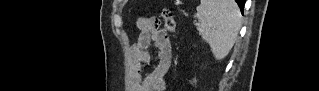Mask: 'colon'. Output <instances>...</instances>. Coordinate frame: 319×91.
<instances>
[{
  "mask_svg": "<svg viewBox=\"0 0 319 91\" xmlns=\"http://www.w3.org/2000/svg\"><path fill=\"white\" fill-rule=\"evenodd\" d=\"M162 17L164 19L166 30L169 33H174L175 29H176V22H175L174 15H173L172 11L168 8H164L162 11ZM154 19H156V18H154Z\"/></svg>",
  "mask_w": 319,
  "mask_h": 91,
  "instance_id": "5ec220e1",
  "label": "colon"
}]
</instances>
